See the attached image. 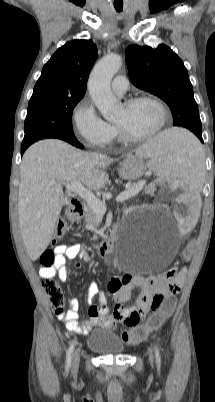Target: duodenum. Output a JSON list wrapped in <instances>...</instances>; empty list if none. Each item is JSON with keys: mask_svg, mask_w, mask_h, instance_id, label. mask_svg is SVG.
Returning <instances> with one entry per match:
<instances>
[{"mask_svg": "<svg viewBox=\"0 0 215 402\" xmlns=\"http://www.w3.org/2000/svg\"><path fill=\"white\" fill-rule=\"evenodd\" d=\"M84 214V207L80 200L73 199L68 207L67 216L71 221L79 220ZM116 243V233H110L109 237L99 243L96 247V250L99 255H106L110 253Z\"/></svg>", "mask_w": 215, "mask_h": 402, "instance_id": "1", "label": "duodenum"}]
</instances>
